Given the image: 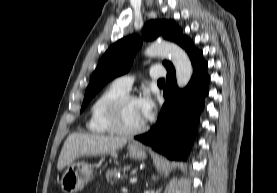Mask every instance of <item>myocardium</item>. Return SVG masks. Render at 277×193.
Returning a JSON list of instances; mask_svg holds the SVG:
<instances>
[{"mask_svg": "<svg viewBox=\"0 0 277 193\" xmlns=\"http://www.w3.org/2000/svg\"><path fill=\"white\" fill-rule=\"evenodd\" d=\"M135 99L131 94H123L111 101L105 111V118L112 133L122 136H132L143 132L147 125L144 122L136 128H126L122 124V108L128 100Z\"/></svg>", "mask_w": 277, "mask_h": 193, "instance_id": "myocardium-1", "label": "myocardium"}]
</instances>
